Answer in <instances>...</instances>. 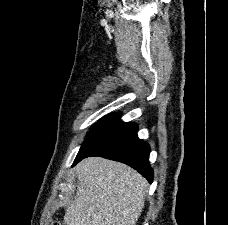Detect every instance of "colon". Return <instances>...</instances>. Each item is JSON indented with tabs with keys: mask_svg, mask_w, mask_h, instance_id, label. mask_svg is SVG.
Instances as JSON below:
<instances>
[{
	"mask_svg": "<svg viewBox=\"0 0 228 225\" xmlns=\"http://www.w3.org/2000/svg\"><path fill=\"white\" fill-rule=\"evenodd\" d=\"M55 225H61V224H58V223H54Z\"/></svg>",
	"mask_w": 228,
	"mask_h": 225,
	"instance_id": "colon-1",
	"label": "colon"
}]
</instances>
